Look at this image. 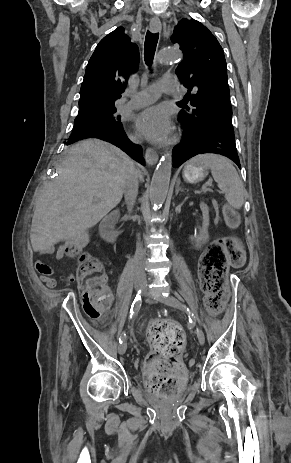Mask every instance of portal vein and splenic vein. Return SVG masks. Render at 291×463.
Wrapping results in <instances>:
<instances>
[{
	"instance_id": "obj_1",
	"label": "portal vein and splenic vein",
	"mask_w": 291,
	"mask_h": 463,
	"mask_svg": "<svg viewBox=\"0 0 291 463\" xmlns=\"http://www.w3.org/2000/svg\"><path fill=\"white\" fill-rule=\"evenodd\" d=\"M210 184H211V182H207V183L205 184V186L203 187V190H204V191H207V186L210 185Z\"/></svg>"
}]
</instances>
